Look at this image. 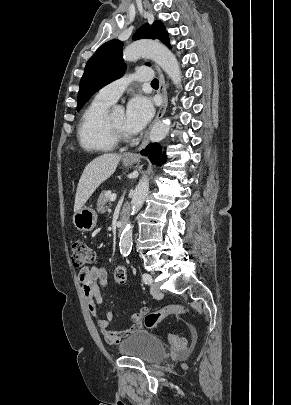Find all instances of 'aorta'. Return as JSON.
I'll return each mask as SVG.
<instances>
[{"instance_id": "1", "label": "aorta", "mask_w": 291, "mask_h": 405, "mask_svg": "<svg viewBox=\"0 0 291 405\" xmlns=\"http://www.w3.org/2000/svg\"><path fill=\"white\" fill-rule=\"evenodd\" d=\"M141 56L148 57L157 63L170 77L176 86L181 83V70L174 54L163 44L153 40H138L130 44L123 51L126 61H136ZM170 121L163 120L155 123L150 131L151 142L162 141L170 130ZM149 192V181L143 177L137 184L132 197V215L142 207ZM133 227L128 223L120 237V253L128 256L132 248Z\"/></svg>"}]
</instances>
